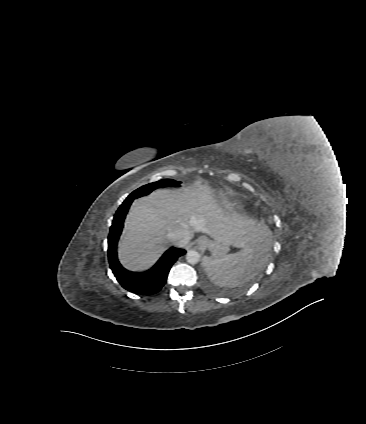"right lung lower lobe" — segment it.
<instances>
[{"label":"right lung lower lobe","instance_id":"98d812e1","mask_svg":"<svg viewBox=\"0 0 366 424\" xmlns=\"http://www.w3.org/2000/svg\"><path fill=\"white\" fill-rule=\"evenodd\" d=\"M134 199H126L117 210L108 236V258L110 268L118 282L126 290L142 295L158 292L164 285L169 270L179 256L186 253L183 249L170 248L159 259L156 265L147 272L134 273L121 266L117 259L116 246L123 228V222Z\"/></svg>","mask_w":366,"mask_h":424}]
</instances>
